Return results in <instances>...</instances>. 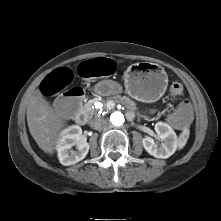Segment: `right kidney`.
Here are the masks:
<instances>
[{
    "label": "right kidney",
    "mask_w": 221,
    "mask_h": 221,
    "mask_svg": "<svg viewBox=\"0 0 221 221\" xmlns=\"http://www.w3.org/2000/svg\"><path fill=\"white\" fill-rule=\"evenodd\" d=\"M82 129L77 125L70 126L61 132L57 141L56 149L58 159L64 166H70L78 163L85 158L89 151V144L82 138ZM76 146L77 151L72 150Z\"/></svg>",
    "instance_id": "obj_1"
}]
</instances>
